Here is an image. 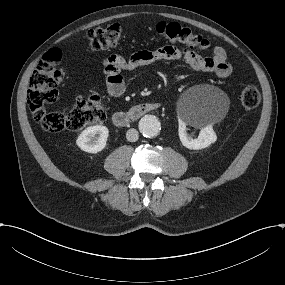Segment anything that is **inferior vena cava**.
<instances>
[{
	"label": "inferior vena cava",
	"mask_w": 285,
	"mask_h": 285,
	"mask_svg": "<svg viewBox=\"0 0 285 285\" xmlns=\"http://www.w3.org/2000/svg\"><path fill=\"white\" fill-rule=\"evenodd\" d=\"M126 137L128 141L135 142L138 140V131L134 128H131L127 130Z\"/></svg>",
	"instance_id": "1"
}]
</instances>
